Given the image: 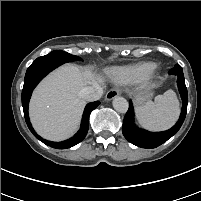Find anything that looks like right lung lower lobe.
Listing matches in <instances>:
<instances>
[{
  "instance_id": "right-lung-lower-lobe-1",
  "label": "right lung lower lobe",
  "mask_w": 201,
  "mask_h": 201,
  "mask_svg": "<svg viewBox=\"0 0 201 201\" xmlns=\"http://www.w3.org/2000/svg\"><path fill=\"white\" fill-rule=\"evenodd\" d=\"M66 62L67 60L64 58H61L59 56H51L49 54L37 58L26 71L24 86L22 90V106L28 128L35 135L36 138H38L44 144L56 149L70 148L80 143L85 138L89 128V115L100 104L99 101H95L86 105L79 131L73 137L66 141H48L36 134L28 117V104L32 91L42 80V78L45 77L50 71Z\"/></svg>"
}]
</instances>
